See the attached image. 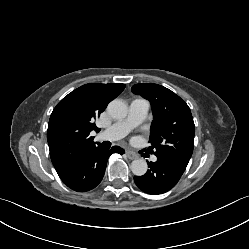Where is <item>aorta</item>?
<instances>
[{
  "instance_id": "obj_1",
  "label": "aorta",
  "mask_w": 249,
  "mask_h": 249,
  "mask_svg": "<svg viewBox=\"0 0 249 249\" xmlns=\"http://www.w3.org/2000/svg\"><path fill=\"white\" fill-rule=\"evenodd\" d=\"M127 105L120 99L112 100L107 106L108 114L114 119H123L127 115ZM148 169L144 159H136L131 163V171L136 176H143Z\"/></svg>"
}]
</instances>
